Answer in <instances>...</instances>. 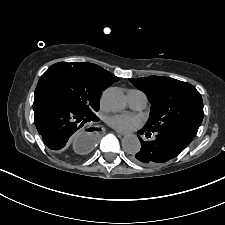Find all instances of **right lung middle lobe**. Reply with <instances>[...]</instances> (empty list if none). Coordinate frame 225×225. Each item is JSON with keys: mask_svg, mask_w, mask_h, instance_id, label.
Returning <instances> with one entry per match:
<instances>
[{"mask_svg": "<svg viewBox=\"0 0 225 225\" xmlns=\"http://www.w3.org/2000/svg\"><path fill=\"white\" fill-rule=\"evenodd\" d=\"M37 87L56 93L82 113L97 117L103 89L76 63L60 62L52 65L40 77Z\"/></svg>", "mask_w": 225, "mask_h": 225, "instance_id": "dd1d6c3e", "label": "right lung middle lobe"}]
</instances>
